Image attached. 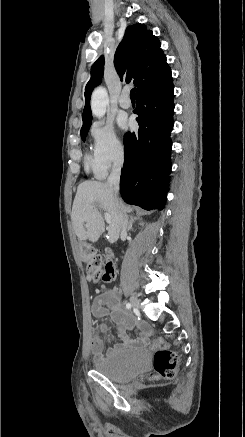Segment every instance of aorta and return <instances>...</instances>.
I'll return each instance as SVG.
<instances>
[{
	"label": "aorta",
	"instance_id": "aorta-1",
	"mask_svg": "<svg viewBox=\"0 0 245 437\" xmlns=\"http://www.w3.org/2000/svg\"><path fill=\"white\" fill-rule=\"evenodd\" d=\"M107 105V91L102 87L95 89L91 97V108L94 116L101 118L105 114Z\"/></svg>",
	"mask_w": 245,
	"mask_h": 437
}]
</instances>
